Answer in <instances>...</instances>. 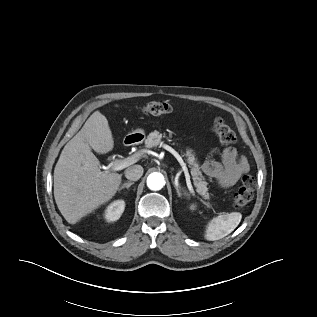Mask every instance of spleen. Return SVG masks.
<instances>
[{"label":"spleen","instance_id":"obj_1","mask_svg":"<svg viewBox=\"0 0 317 317\" xmlns=\"http://www.w3.org/2000/svg\"><path fill=\"white\" fill-rule=\"evenodd\" d=\"M242 215L239 212L220 214L208 222L205 239L216 241L233 232L241 222Z\"/></svg>","mask_w":317,"mask_h":317}]
</instances>
